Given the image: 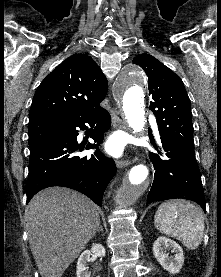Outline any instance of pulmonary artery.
I'll return each mask as SVG.
<instances>
[{"label":"pulmonary artery","mask_w":221,"mask_h":277,"mask_svg":"<svg viewBox=\"0 0 221 277\" xmlns=\"http://www.w3.org/2000/svg\"><path fill=\"white\" fill-rule=\"evenodd\" d=\"M154 130L158 134V127H157L156 123H154Z\"/></svg>","instance_id":"pulmonary-artery-1"}]
</instances>
